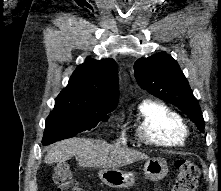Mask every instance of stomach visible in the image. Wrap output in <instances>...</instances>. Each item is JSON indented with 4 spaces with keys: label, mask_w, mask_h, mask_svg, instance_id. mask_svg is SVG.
Returning <instances> with one entry per match:
<instances>
[{
    "label": "stomach",
    "mask_w": 221,
    "mask_h": 191,
    "mask_svg": "<svg viewBox=\"0 0 221 191\" xmlns=\"http://www.w3.org/2000/svg\"><path fill=\"white\" fill-rule=\"evenodd\" d=\"M168 172L167 162L161 158L148 159L144 165L146 179L158 181ZM100 180L112 188H131L136 185L137 174L133 171H121L117 168H103L98 173Z\"/></svg>",
    "instance_id": "1"
}]
</instances>
